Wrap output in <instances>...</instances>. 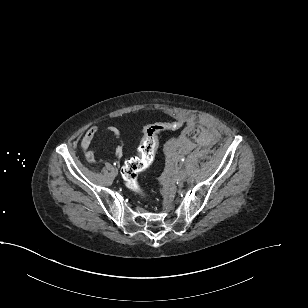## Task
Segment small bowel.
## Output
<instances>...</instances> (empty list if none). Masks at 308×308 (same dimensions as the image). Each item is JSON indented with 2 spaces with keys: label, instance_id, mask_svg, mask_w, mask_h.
Masks as SVG:
<instances>
[{
  "label": "small bowel",
  "instance_id": "obj_1",
  "mask_svg": "<svg viewBox=\"0 0 308 308\" xmlns=\"http://www.w3.org/2000/svg\"><path fill=\"white\" fill-rule=\"evenodd\" d=\"M189 122H192V120H189ZM107 130L114 135H118V129L116 127L110 126L108 127ZM98 133H99V128L97 126L89 128L84 134L80 143L83 155L86 161L90 164H93L95 162V152L92 149L91 145L95 137L98 135ZM115 155L117 157H120L122 155V149L120 147L115 149Z\"/></svg>",
  "mask_w": 308,
  "mask_h": 308
}]
</instances>
